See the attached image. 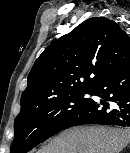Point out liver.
<instances>
[{"label": "liver", "instance_id": "obj_1", "mask_svg": "<svg viewBox=\"0 0 130 153\" xmlns=\"http://www.w3.org/2000/svg\"><path fill=\"white\" fill-rule=\"evenodd\" d=\"M129 142L128 129L76 126L62 131L37 153H120Z\"/></svg>", "mask_w": 130, "mask_h": 153}]
</instances>
